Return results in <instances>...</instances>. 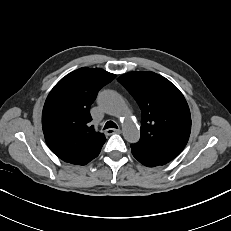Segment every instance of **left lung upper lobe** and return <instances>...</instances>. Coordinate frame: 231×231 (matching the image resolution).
<instances>
[{
    "mask_svg": "<svg viewBox=\"0 0 231 231\" xmlns=\"http://www.w3.org/2000/svg\"><path fill=\"white\" fill-rule=\"evenodd\" d=\"M141 109L140 148L179 155L191 131V116L183 94L154 72L133 71L118 78Z\"/></svg>",
    "mask_w": 231,
    "mask_h": 231,
    "instance_id": "1",
    "label": "left lung upper lobe"
}]
</instances>
